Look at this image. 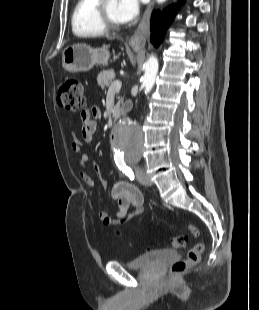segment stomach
I'll use <instances>...</instances> for the list:
<instances>
[{
	"label": "stomach",
	"mask_w": 259,
	"mask_h": 310,
	"mask_svg": "<svg viewBox=\"0 0 259 310\" xmlns=\"http://www.w3.org/2000/svg\"><path fill=\"white\" fill-rule=\"evenodd\" d=\"M134 51H139L133 47ZM110 53L107 48H92L87 44L78 43L68 46L62 53V66L68 72H86L95 65L108 62Z\"/></svg>",
	"instance_id": "stomach-1"
}]
</instances>
